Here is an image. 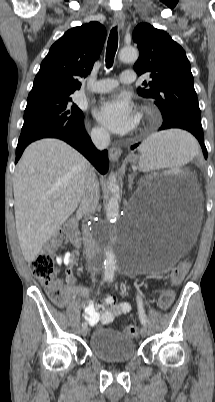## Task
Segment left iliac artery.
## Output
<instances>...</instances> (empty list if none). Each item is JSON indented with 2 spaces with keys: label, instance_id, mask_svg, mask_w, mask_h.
<instances>
[{
  "label": "left iliac artery",
  "instance_id": "44dca946",
  "mask_svg": "<svg viewBox=\"0 0 215 402\" xmlns=\"http://www.w3.org/2000/svg\"><path fill=\"white\" fill-rule=\"evenodd\" d=\"M110 281H112V279H110ZM137 305H138L139 319H140V321H141V323L143 325H146L147 317H146L145 312H144L142 298L139 295H137Z\"/></svg>",
  "mask_w": 215,
  "mask_h": 402
}]
</instances>
